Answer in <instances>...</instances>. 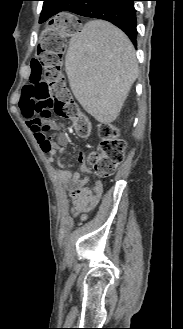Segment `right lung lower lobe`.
<instances>
[{
	"label": "right lung lower lobe",
	"instance_id": "1",
	"mask_svg": "<svg viewBox=\"0 0 183 329\" xmlns=\"http://www.w3.org/2000/svg\"><path fill=\"white\" fill-rule=\"evenodd\" d=\"M136 0H65L56 7V13H72L112 22L123 30L136 46L137 18L134 8Z\"/></svg>",
	"mask_w": 183,
	"mask_h": 329
}]
</instances>
